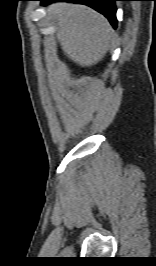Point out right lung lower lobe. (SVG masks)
<instances>
[{"mask_svg": "<svg viewBox=\"0 0 156 266\" xmlns=\"http://www.w3.org/2000/svg\"><path fill=\"white\" fill-rule=\"evenodd\" d=\"M41 1L42 5H46L53 2H72V3H79L85 4L96 11L100 12L104 16L108 18L110 23L113 27H117V20H116V7L115 1L117 0H38Z\"/></svg>", "mask_w": 156, "mask_h": 266, "instance_id": "1", "label": "right lung lower lobe"}]
</instances>
